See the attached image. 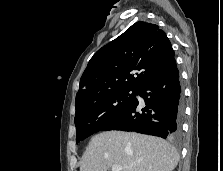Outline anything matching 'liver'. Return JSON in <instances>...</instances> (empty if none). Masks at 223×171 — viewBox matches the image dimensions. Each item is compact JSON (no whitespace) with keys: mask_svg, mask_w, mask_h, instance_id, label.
<instances>
[{"mask_svg":"<svg viewBox=\"0 0 223 171\" xmlns=\"http://www.w3.org/2000/svg\"><path fill=\"white\" fill-rule=\"evenodd\" d=\"M167 141L144 134L106 131L92 137L82 158L80 171H173L179 161Z\"/></svg>","mask_w":223,"mask_h":171,"instance_id":"1","label":"liver"}]
</instances>
